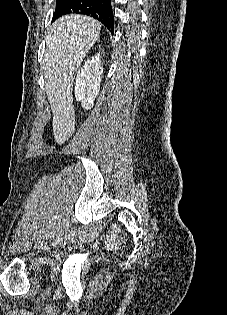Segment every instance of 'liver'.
Here are the masks:
<instances>
[{"mask_svg": "<svg viewBox=\"0 0 227 315\" xmlns=\"http://www.w3.org/2000/svg\"><path fill=\"white\" fill-rule=\"evenodd\" d=\"M100 30L101 23L97 20L70 14L57 19L47 37L45 89L53 112L54 138L59 144L68 140L75 130L73 83Z\"/></svg>", "mask_w": 227, "mask_h": 315, "instance_id": "6515ba94", "label": "liver"}]
</instances>
